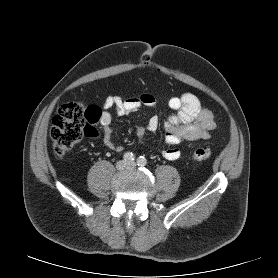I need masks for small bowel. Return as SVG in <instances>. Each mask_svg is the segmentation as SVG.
<instances>
[{"instance_id":"obj_1","label":"small bowel","mask_w":278,"mask_h":278,"mask_svg":"<svg viewBox=\"0 0 278 278\" xmlns=\"http://www.w3.org/2000/svg\"><path fill=\"white\" fill-rule=\"evenodd\" d=\"M156 98L150 93L123 99L118 95L109 96L103 103L100 123L103 128V142L111 150L121 152L123 147L112 141V110L118 116H128L141 107H154ZM168 106L175 112L164 123L166 148L163 156L168 160H177L181 151L177 145L182 141L208 139L217 127L213 112L192 93L172 96ZM160 126L157 116H152L146 125L137 128V137L143 140L147 132H155Z\"/></svg>"}]
</instances>
